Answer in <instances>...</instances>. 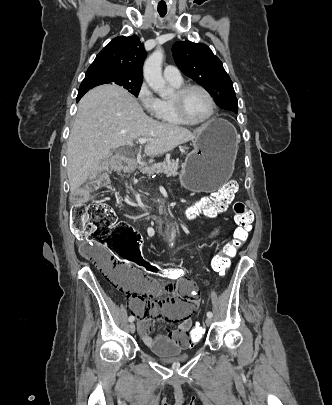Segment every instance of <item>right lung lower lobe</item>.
Returning a JSON list of instances; mask_svg holds the SVG:
<instances>
[{
    "label": "right lung lower lobe",
    "mask_w": 332,
    "mask_h": 405,
    "mask_svg": "<svg viewBox=\"0 0 332 405\" xmlns=\"http://www.w3.org/2000/svg\"><path fill=\"white\" fill-rule=\"evenodd\" d=\"M84 94H85V93H78L77 102L81 99V97H82Z\"/></svg>",
    "instance_id": "right-lung-lower-lobe-1"
}]
</instances>
